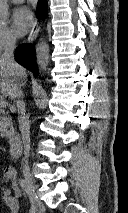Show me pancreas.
<instances>
[{
    "mask_svg": "<svg viewBox=\"0 0 128 213\" xmlns=\"http://www.w3.org/2000/svg\"><path fill=\"white\" fill-rule=\"evenodd\" d=\"M12 130L13 124L11 117L6 116L5 111L0 109V135L7 137Z\"/></svg>",
    "mask_w": 128,
    "mask_h": 213,
    "instance_id": "cf45deb5",
    "label": "pancreas"
}]
</instances>
